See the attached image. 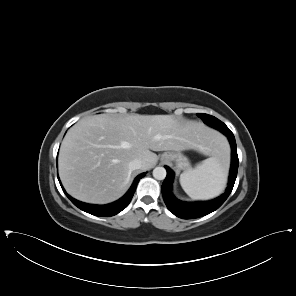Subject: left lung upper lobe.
Here are the masks:
<instances>
[{"label": "left lung upper lobe", "mask_w": 296, "mask_h": 296, "mask_svg": "<svg viewBox=\"0 0 296 296\" xmlns=\"http://www.w3.org/2000/svg\"><path fill=\"white\" fill-rule=\"evenodd\" d=\"M198 117H200L204 123L220 130V129H229L222 121L217 119L214 116L208 115V114H203L199 113L197 114Z\"/></svg>", "instance_id": "obj_1"}]
</instances>
